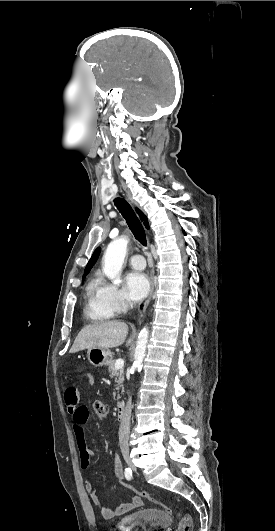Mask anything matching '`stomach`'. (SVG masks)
Segmentation results:
<instances>
[{"mask_svg": "<svg viewBox=\"0 0 275 531\" xmlns=\"http://www.w3.org/2000/svg\"><path fill=\"white\" fill-rule=\"evenodd\" d=\"M87 359L94 367H104V365H109L110 361H112V353L110 349L91 347L87 351Z\"/></svg>", "mask_w": 275, "mask_h": 531, "instance_id": "obj_1", "label": "stomach"}]
</instances>
